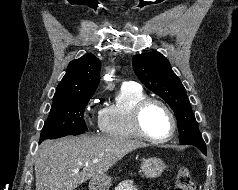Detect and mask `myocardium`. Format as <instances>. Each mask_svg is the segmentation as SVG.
Here are the masks:
<instances>
[{"label": "myocardium", "mask_w": 238, "mask_h": 190, "mask_svg": "<svg viewBox=\"0 0 238 190\" xmlns=\"http://www.w3.org/2000/svg\"><path fill=\"white\" fill-rule=\"evenodd\" d=\"M154 104L159 105L165 110L171 122L170 131L164 137L151 136L150 134L146 132L142 123V117L144 112L149 106ZM132 124H133L134 130L139 135V137L153 143H164L169 141L173 137L177 127L176 118L171 108L164 101L157 98H150V97H147L136 104L132 112Z\"/></svg>", "instance_id": "myocardium-1"}]
</instances>
